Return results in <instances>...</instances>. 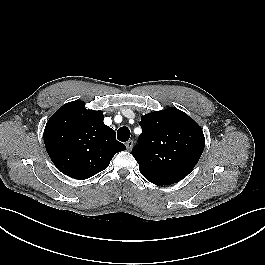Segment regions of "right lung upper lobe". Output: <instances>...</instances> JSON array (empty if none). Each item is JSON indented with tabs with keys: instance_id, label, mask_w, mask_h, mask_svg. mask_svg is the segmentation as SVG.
I'll return each mask as SVG.
<instances>
[{
	"instance_id": "obj_1",
	"label": "right lung upper lobe",
	"mask_w": 265,
	"mask_h": 265,
	"mask_svg": "<svg viewBox=\"0 0 265 265\" xmlns=\"http://www.w3.org/2000/svg\"><path fill=\"white\" fill-rule=\"evenodd\" d=\"M103 119L101 111L86 109L84 102L73 101L48 120L44 143L61 172L75 179H88L106 169L113 156L126 149Z\"/></svg>"
}]
</instances>
